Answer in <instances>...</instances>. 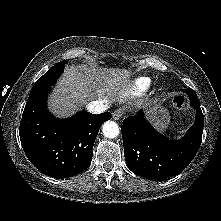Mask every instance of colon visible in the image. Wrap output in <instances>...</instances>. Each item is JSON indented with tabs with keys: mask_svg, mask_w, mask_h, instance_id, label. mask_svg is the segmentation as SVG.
<instances>
[{
	"mask_svg": "<svg viewBox=\"0 0 221 221\" xmlns=\"http://www.w3.org/2000/svg\"><path fill=\"white\" fill-rule=\"evenodd\" d=\"M175 106L179 109H184L186 106V98L183 95H176L173 98Z\"/></svg>",
	"mask_w": 221,
	"mask_h": 221,
	"instance_id": "colon-1",
	"label": "colon"
}]
</instances>
